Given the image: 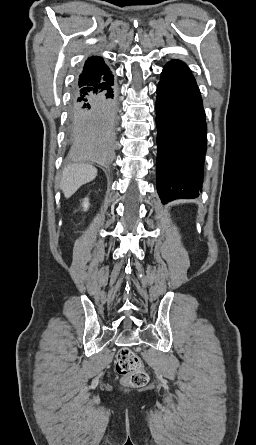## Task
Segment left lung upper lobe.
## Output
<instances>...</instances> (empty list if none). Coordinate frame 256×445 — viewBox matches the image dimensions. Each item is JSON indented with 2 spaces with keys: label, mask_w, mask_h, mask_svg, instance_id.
Listing matches in <instances>:
<instances>
[{
  "label": "left lung upper lobe",
  "mask_w": 256,
  "mask_h": 445,
  "mask_svg": "<svg viewBox=\"0 0 256 445\" xmlns=\"http://www.w3.org/2000/svg\"><path fill=\"white\" fill-rule=\"evenodd\" d=\"M169 63L178 65V66H180V67H183V68L189 70V68L187 67V65H186L184 62H182V61H179V60H175V59H174V60H171Z\"/></svg>",
  "instance_id": "5c2ea615"
}]
</instances>
